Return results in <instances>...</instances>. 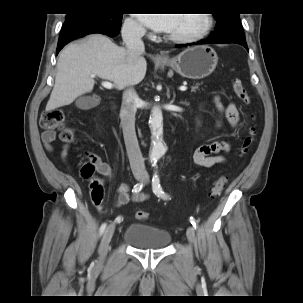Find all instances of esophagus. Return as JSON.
<instances>
[{"label": "esophagus", "mask_w": 303, "mask_h": 303, "mask_svg": "<svg viewBox=\"0 0 303 303\" xmlns=\"http://www.w3.org/2000/svg\"><path fill=\"white\" fill-rule=\"evenodd\" d=\"M156 59H165V57L161 56V55H157Z\"/></svg>", "instance_id": "34e87169"}]
</instances>
